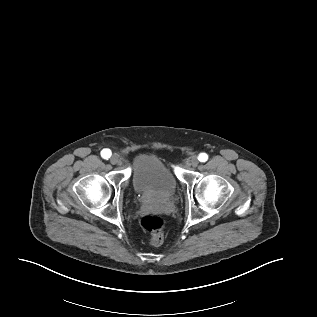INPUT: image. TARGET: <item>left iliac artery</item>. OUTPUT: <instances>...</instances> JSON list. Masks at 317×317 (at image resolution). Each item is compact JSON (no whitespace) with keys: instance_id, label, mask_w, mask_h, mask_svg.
I'll return each instance as SVG.
<instances>
[{"instance_id":"left-iliac-artery-1","label":"left iliac artery","mask_w":317,"mask_h":317,"mask_svg":"<svg viewBox=\"0 0 317 317\" xmlns=\"http://www.w3.org/2000/svg\"><path fill=\"white\" fill-rule=\"evenodd\" d=\"M200 162H206L208 160V155L206 153H200L198 156Z\"/></svg>"}]
</instances>
